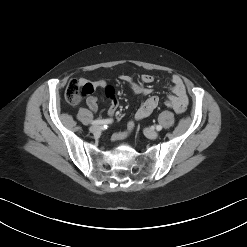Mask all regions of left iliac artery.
Instances as JSON below:
<instances>
[{"mask_svg": "<svg viewBox=\"0 0 247 247\" xmlns=\"http://www.w3.org/2000/svg\"><path fill=\"white\" fill-rule=\"evenodd\" d=\"M161 129H162V126H161V125H157V126H156V130H157V131H160Z\"/></svg>", "mask_w": 247, "mask_h": 247, "instance_id": "obj_1", "label": "left iliac artery"}]
</instances>
